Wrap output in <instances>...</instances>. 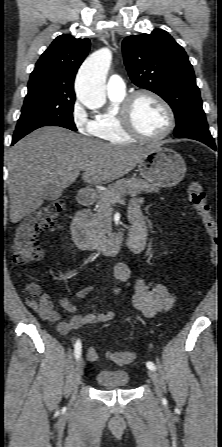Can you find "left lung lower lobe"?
<instances>
[{
    "label": "left lung lower lobe",
    "instance_id": "obj_1",
    "mask_svg": "<svg viewBox=\"0 0 222 447\" xmlns=\"http://www.w3.org/2000/svg\"><path fill=\"white\" fill-rule=\"evenodd\" d=\"M198 141H201V142L207 144L208 146H210L212 149L216 150V145H215L214 140H211V141H207V140H198Z\"/></svg>",
    "mask_w": 222,
    "mask_h": 447
}]
</instances>
